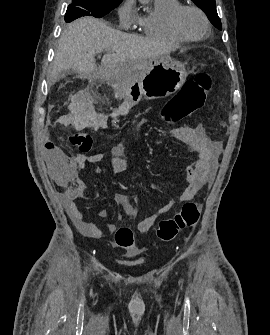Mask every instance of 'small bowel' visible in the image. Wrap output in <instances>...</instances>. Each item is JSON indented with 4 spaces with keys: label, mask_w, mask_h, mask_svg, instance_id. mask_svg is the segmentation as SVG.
Instances as JSON below:
<instances>
[{
    "label": "small bowel",
    "mask_w": 270,
    "mask_h": 335,
    "mask_svg": "<svg viewBox=\"0 0 270 335\" xmlns=\"http://www.w3.org/2000/svg\"><path fill=\"white\" fill-rule=\"evenodd\" d=\"M188 135L191 137V146L199 154V159L186 170L187 188L180 197L181 202L192 200L205 185L213 181L216 173V159L221 149V142L209 138L202 126L189 130ZM45 150V165H51L50 178H70L72 182V185L68 186L64 192L65 206L71 220L84 236L89 238L100 237L102 235L101 230L94 223L86 221L79 209L77 201L84 197L86 186L83 181L77 178L76 171L77 169H83L88 164L101 162L104 155L102 153L78 155L72 162L71 158H63L67 151L66 149H58L57 144H46ZM110 161L112 170L116 174L124 173L128 168V163L120 146L112 148ZM152 189L157 190L158 187L152 185ZM113 199L125 216L132 217L134 215L132 203L126 194L115 193ZM173 206L174 201L170 200L158 213L143 219L138 224V231L141 233L148 232L155 224L158 216L168 212ZM98 216L106 217L107 211L100 210ZM115 229V225L109 226L110 233H113Z\"/></svg>",
    "instance_id": "obj_1"
}]
</instances>
